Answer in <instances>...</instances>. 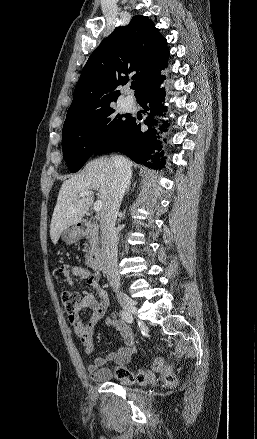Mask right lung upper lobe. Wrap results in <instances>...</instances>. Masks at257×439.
<instances>
[{
  "label": "right lung upper lobe",
  "instance_id": "1",
  "mask_svg": "<svg viewBox=\"0 0 257 439\" xmlns=\"http://www.w3.org/2000/svg\"><path fill=\"white\" fill-rule=\"evenodd\" d=\"M169 54L166 39L149 18L134 16L127 26L117 27L82 69L65 122L110 106L120 95L116 87L126 84L129 75L138 82L139 100L167 67Z\"/></svg>",
  "mask_w": 257,
  "mask_h": 439
}]
</instances>
